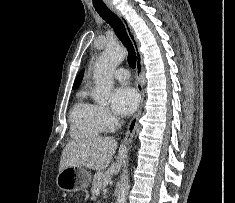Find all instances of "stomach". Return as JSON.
Returning a JSON list of instances; mask_svg holds the SVG:
<instances>
[{"label":"stomach","instance_id":"obj_1","mask_svg":"<svg viewBox=\"0 0 235 203\" xmlns=\"http://www.w3.org/2000/svg\"><path fill=\"white\" fill-rule=\"evenodd\" d=\"M91 183V174L84 167H67L56 178L57 186L66 192L86 189Z\"/></svg>","mask_w":235,"mask_h":203}]
</instances>
